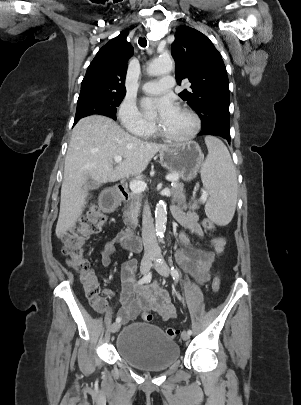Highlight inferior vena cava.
Returning <instances> with one entry per match:
<instances>
[{
  "mask_svg": "<svg viewBox=\"0 0 301 405\" xmlns=\"http://www.w3.org/2000/svg\"><path fill=\"white\" fill-rule=\"evenodd\" d=\"M142 239L145 254H153L157 252L155 227L148 202H146L143 210Z\"/></svg>",
  "mask_w": 301,
  "mask_h": 405,
  "instance_id": "602c4592",
  "label": "inferior vena cava"
}]
</instances>
